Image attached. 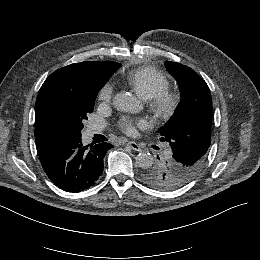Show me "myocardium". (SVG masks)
Here are the masks:
<instances>
[{
	"mask_svg": "<svg viewBox=\"0 0 260 260\" xmlns=\"http://www.w3.org/2000/svg\"><path fill=\"white\" fill-rule=\"evenodd\" d=\"M182 105V94L176 90H165L149 101L153 119L164 122L172 118Z\"/></svg>",
	"mask_w": 260,
	"mask_h": 260,
	"instance_id": "myocardium-1",
	"label": "myocardium"
}]
</instances>
